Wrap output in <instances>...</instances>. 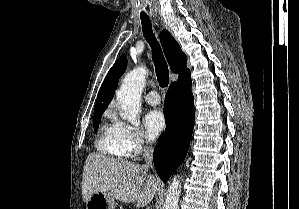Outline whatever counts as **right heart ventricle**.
<instances>
[{
	"mask_svg": "<svg viewBox=\"0 0 299 209\" xmlns=\"http://www.w3.org/2000/svg\"><path fill=\"white\" fill-rule=\"evenodd\" d=\"M96 146L102 153L118 157L125 156L118 140L117 128L114 123H103L99 130Z\"/></svg>",
	"mask_w": 299,
	"mask_h": 209,
	"instance_id": "e07e8e85",
	"label": "right heart ventricle"
}]
</instances>
